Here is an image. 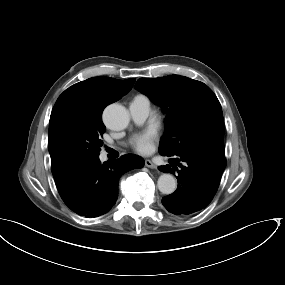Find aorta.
<instances>
[{
    "instance_id": "aorta-1",
    "label": "aorta",
    "mask_w": 285,
    "mask_h": 285,
    "mask_svg": "<svg viewBox=\"0 0 285 285\" xmlns=\"http://www.w3.org/2000/svg\"><path fill=\"white\" fill-rule=\"evenodd\" d=\"M103 120L110 129L122 130L126 128L129 123V114L124 106L111 104L105 109ZM157 186L161 193L169 195L176 190L177 181L173 175L164 173L159 177Z\"/></svg>"
}]
</instances>
